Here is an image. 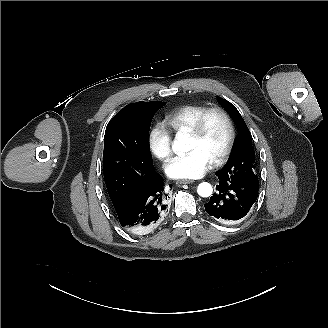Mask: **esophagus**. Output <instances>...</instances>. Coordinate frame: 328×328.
Returning a JSON list of instances; mask_svg holds the SVG:
<instances>
[{"label": "esophagus", "mask_w": 328, "mask_h": 328, "mask_svg": "<svg viewBox=\"0 0 328 328\" xmlns=\"http://www.w3.org/2000/svg\"><path fill=\"white\" fill-rule=\"evenodd\" d=\"M195 181L192 179H179L176 181V184H190L194 183Z\"/></svg>", "instance_id": "1"}]
</instances>
